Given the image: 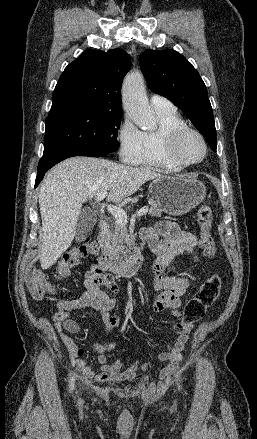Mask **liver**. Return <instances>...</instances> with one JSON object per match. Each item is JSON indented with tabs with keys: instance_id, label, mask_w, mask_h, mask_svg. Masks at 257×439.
Instances as JSON below:
<instances>
[{
	"instance_id": "6515ba94",
	"label": "liver",
	"mask_w": 257,
	"mask_h": 439,
	"mask_svg": "<svg viewBox=\"0 0 257 439\" xmlns=\"http://www.w3.org/2000/svg\"><path fill=\"white\" fill-rule=\"evenodd\" d=\"M162 177L150 168H135L116 162L73 157L52 168L39 189L42 218V269L50 268L71 245L82 203L102 190L108 202L119 203L144 183Z\"/></svg>"
}]
</instances>
